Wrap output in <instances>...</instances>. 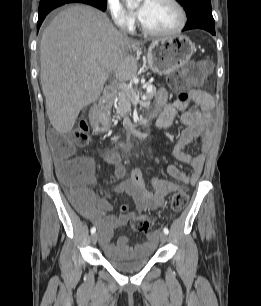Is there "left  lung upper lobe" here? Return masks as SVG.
<instances>
[{
  "label": "left lung upper lobe",
  "mask_w": 261,
  "mask_h": 306,
  "mask_svg": "<svg viewBox=\"0 0 261 306\" xmlns=\"http://www.w3.org/2000/svg\"><path fill=\"white\" fill-rule=\"evenodd\" d=\"M183 6L188 19L206 18L214 21L210 0H176Z\"/></svg>",
  "instance_id": "5c2ea615"
}]
</instances>
